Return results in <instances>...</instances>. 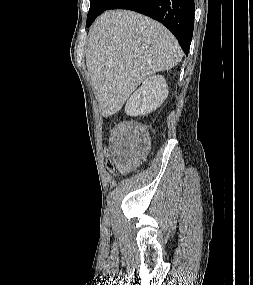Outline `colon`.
<instances>
[{
  "instance_id": "colon-1",
  "label": "colon",
  "mask_w": 253,
  "mask_h": 285,
  "mask_svg": "<svg viewBox=\"0 0 253 285\" xmlns=\"http://www.w3.org/2000/svg\"><path fill=\"white\" fill-rule=\"evenodd\" d=\"M103 153H104L103 157L107 158L106 161H105V164H106L105 172H112V167H111L112 161L109 158L110 154H111V151L109 149H104Z\"/></svg>"
}]
</instances>
